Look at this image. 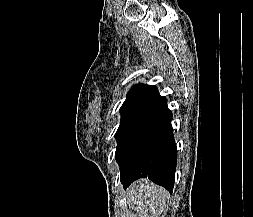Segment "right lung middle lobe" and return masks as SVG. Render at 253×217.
I'll use <instances>...</instances> for the list:
<instances>
[{
    "instance_id": "dd1d6c3e",
    "label": "right lung middle lobe",
    "mask_w": 253,
    "mask_h": 217,
    "mask_svg": "<svg viewBox=\"0 0 253 217\" xmlns=\"http://www.w3.org/2000/svg\"><path fill=\"white\" fill-rule=\"evenodd\" d=\"M151 103L148 102H128L124 103L120 109L121 123L115 134L118 145L132 127V125L142 116V114L149 108Z\"/></svg>"
}]
</instances>
